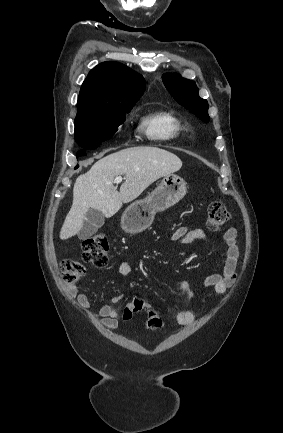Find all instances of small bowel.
I'll return each instance as SVG.
<instances>
[{"instance_id": "c3829d8e", "label": "small bowel", "mask_w": 283, "mask_h": 433, "mask_svg": "<svg viewBox=\"0 0 283 433\" xmlns=\"http://www.w3.org/2000/svg\"><path fill=\"white\" fill-rule=\"evenodd\" d=\"M236 228L230 227L224 233V241L227 246L226 257L224 260L223 269L220 273L212 274L203 280L205 287H211L214 292L224 299L227 291L234 284L237 278L238 258H239V242ZM207 236L201 229H188L186 226L177 228L171 234V241L180 244H192L195 242H205ZM118 272L122 277H129L132 274L131 265L128 262H121L118 267ZM182 290L190 297L195 295L194 287L190 282L182 283ZM71 293L77 300L78 304L87 309L90 307V301L86 294L80 292L76 285L71 287ZM122 299V294L113 295L110 302L101 306L99 309L100 321L106 328L113 329L117 326L118 312L113 306ZM195 320V314L192 309L179 311L175 316V323L178 326H190Z\"/></svg>"}]
</instances>
